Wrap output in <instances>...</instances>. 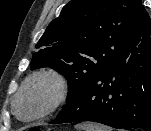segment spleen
<instances>
[{"label":"spleen","instance_id":"3e777b00","mask_svg":"<svg viewBox=\"0 0 151 131\" xmlns=\"http://www.w3.org/2000/svg\"><path fill=\"white\" fill-rule=\"evenodd\" d=\"M76 128L83 131H112L111 128L101 125V124H93V123H83L76 125Z\"/></svg>","mask_w":151,"mask_h":131}]
</instances>
